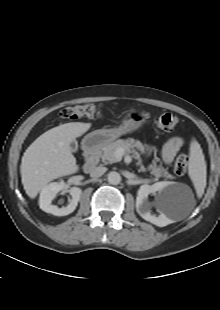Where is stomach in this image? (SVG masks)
Returning a JSON list of instances; mask_svg holds the SVG:
<instances>
[{
	"instance_id": "0dacf381",
	"label": "stomach",
	"mask_w": 220,
	"mask_h": 310,
	"mask_svg": "<svg viewBox=\"0 0 220 310\" xmlns=\"http://www.w3.org/2000/svg\"><path fill=\"white\" fill-rule=\"evenodd\" d=\"M146 118V114L143 112L131 111L125 116L122 124L117 128L95 130L86 135L84 141L87 142L90 147L105 146L116 138L132 133L140 128L146 121Z\"/></svg>"
}]
</instances>
